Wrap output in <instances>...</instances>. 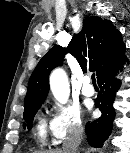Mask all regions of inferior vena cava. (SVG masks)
I'll list each match as a JSON object with an SVG mask.
<instances>
[{
    "instance_id": "obj_1",
    "label": "inferior vena cava",
    "mask_w": 130,
    "mask_h": 153,
    "mask_svg": "<svg viewBox=\"0 0 130 153\" xmlns=\"http://www.w3.org/2000/svg\"><path fill=\"white\" fill-rule=\"evenodd\" d=\"M84 128L81 125L73 128L63 143V153H76L81 142Z\"/></svg>"
}]
</instances>
